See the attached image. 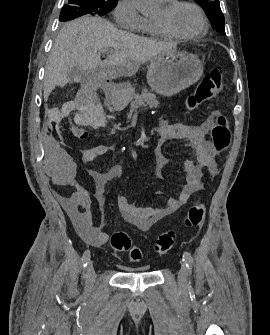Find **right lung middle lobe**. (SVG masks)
<instances>
[{
    "instance_id": "right-lung-middle-lobe-1",
    "label": "right lung middle lobe",
    "mask_w": 270,
    "mask_h": 335,
    "mask_svg": "<svg viewBox=\"0 0 270 335\" xmlns=\"http://www.w3.org/2000/svg\"><path fill=\"white\" fill-rule=\"evenodd\" d=\"M117 0H68L60 12V21H69L82 15L103 16L110 12Z\"/></svg>"
}]
</instances>
